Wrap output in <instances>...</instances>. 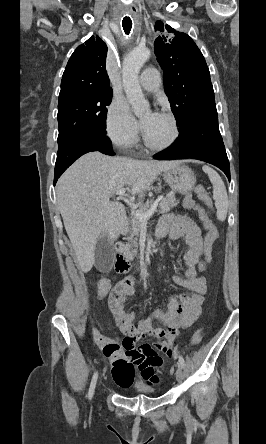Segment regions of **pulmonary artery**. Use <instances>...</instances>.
Returning <instances> with one entry per match:
<instances>
[{"label":"pulmonary artery","mask_w":266,"mask_h":444,"mask_svg":"<svg viewBox=\"0 0 266 444\" xmlns=\"http://www.w3.org/2000/svg\"><path fill=\"white\" fill-rule=\"evenodd\" d=\"M139 84L148 91L158 89L161 85L160 72L154 67L146 68L139 77Z\"/></svg>","instance_id":"e3ab8cb5"}]
</instances>
